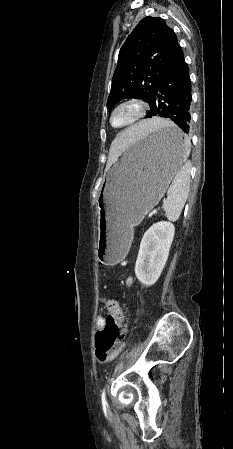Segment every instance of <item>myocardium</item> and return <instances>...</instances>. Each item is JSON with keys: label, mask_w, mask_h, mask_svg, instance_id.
I'll use <instances>...</instances> for the list:
<instances>
[{"label": "myocardium", "mask_w": 233, "mask_h": 449, "mask_svg": "<svg viewBox=\"0 0 233 449\" xmlns=\"http://www.w3.org/2000/svg\"><path fill=\"white\" fill-rule=\"evenodd\" d=\"M132 108V116L124 123L116 125L113 122L114 115L121 109ZM147 105L144 101L136 98L125 99L117 103L110 112L109 123L113 128H125L139 121L146 113Z\"/></svg>", "instance_id": "f54148a6"}]
</instances>
